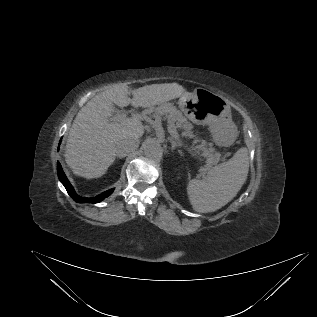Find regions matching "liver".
<instances>
[{
  "mask_svg": "<svg viewBox=\"0 0 317 317\" xmlns=\"http://www.w3.org/2000/svg\"><path fill=\"white\" fill-rule=\"evenodd\" d=\"M117 85L93 97L78 112L67 137L65 160L73 173L91 179L105 174L115 160V145L126 138L139 139L144 127L138 118L121 121L109 119L114 104L126 107H153L176 99L185 93L177 83L152 84L132 90Z\"/></svg>",
  "mask_w": 317,
  "mask_h": 317,
  "instance_id": "obj_1",
  "label": "liver"
}]
</instances>
